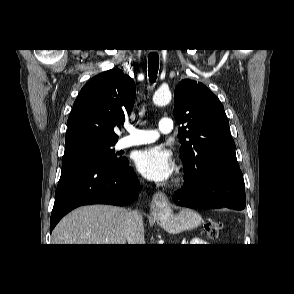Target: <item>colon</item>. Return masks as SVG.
Segmentation results:
<instances>
[{
	"label": "colon",
	"instance_id": "obj_1",
	"mask_svg": "<svg viewBox=\"0 0 294 294\" xmlns=\"http://www.w3.org/2000/svg\"><path fill=\"white\" fill-rule=\"evenodd\" d=\"M204 228L207 237L211 240H215L219 237L220 232L223 228V224L217 221H208L206 222Z\"/></svg>",
	"mask_w": 294,
	"mask_h": 294
}]
</instances>
